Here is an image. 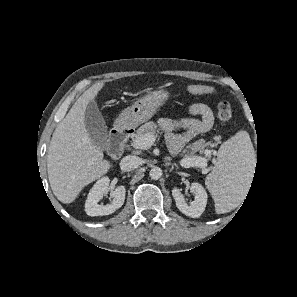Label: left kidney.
I'll list each match as a JSON object with an SVG mask.
<instances>
[{
    "label": "left kidney",
    "instance_id": "5707ae66",
    "mask_svg": "<svg viewBox=\"0 0 297 297\" xmlns=\"http://www.w3.org/2000/svg\"><path fill=\"white\" fill-rule=\"evenodd\" d=\"M191 192L195 195V200L187 204L184 196L178 188H173L172 196L176 202L177 208L185 215L198 218L204 212L207 204V192L204 187L199 183L191 184Z\"/></svg>",
    "mask_w": 297,
    "mask_h": 297
}]
</instances>
